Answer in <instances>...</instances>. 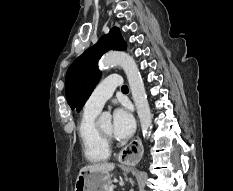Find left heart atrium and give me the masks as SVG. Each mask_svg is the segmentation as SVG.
<instances>
[{
    "label": "left heart atrium",
    "instance_id": "obj_1",
    "mask_svg": "<svg viewBox=\"0 0 233 191\" xmlns=\"http://www.w3.org/2000/svg\"><path fill=\"white\" fill-rule=\"evenodd\" d=\"M135 130V120L126 106L118 107L113 112L112 133L117 139H126Z\"/></svg>",
    "mask_w": 233,
    "mask_h": 191
}]
</instances>
